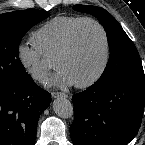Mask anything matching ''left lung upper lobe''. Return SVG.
Wrapping results in <instances>:
<instances>
[{"label": "left lung upper lobe", "mask_w": 145, "mask_h": 145, "mask_svg": "<svg viewBox=\"0 0 145 145\" xmlns=\"http://www.w3.org/2000/svg\"><path fill=\"white\" fill-rule=\"evenodd\" d=\"M73 9L95 16L103 25L108 38L109 61L103 74L93 86L103 87L121 80L144 77L141 59L134 43L109 12L90 5H74Z\"/></svg>", "instance_id": "5c2ea615"}]
</instances>
